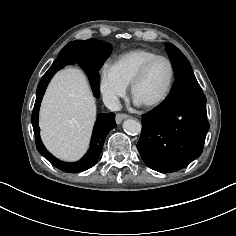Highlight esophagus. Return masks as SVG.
I'll use <instances>...</instances> for the list:
<instances>
[{
	"label": "esophagus",
	"mask_w": 236,
	"mask_h": 236,
	"mask_svg": "<svg viewBox=\"0 0 236 236\" xmlns=\"http://www.w3.org/2000/svg\"><path fill=\"white\" fill-rule=\"evenodd\" d=\"M128 117H129V115H127V114L118 113V114L116 115V123H117V124H120L124 119H126V118H128Z\"/></svg>",
	"instance_id": "1"
}]
</instances>
